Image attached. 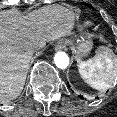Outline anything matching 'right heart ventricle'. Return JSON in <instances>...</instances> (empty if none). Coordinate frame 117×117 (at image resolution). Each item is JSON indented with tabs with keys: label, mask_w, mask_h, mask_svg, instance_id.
Listing matches in <instances>:
<instances>
[{
	"label": "right heart ventricle",
	"mask_w": 117,
	"mask_h": 117,
	"mask_svg": "<svg viewBox=\"0 0 117 117\" xmlns=\"http://www.w3.org/2000/svg\"><path fill=\"white\" fill-rule=\"evenodd\" d=\"M90 24L88 22L82 23V26H89Z\"/></svg>",
	"instance_id": "1"
}]
</instances>
